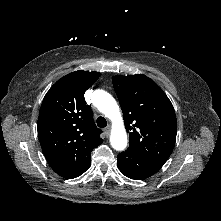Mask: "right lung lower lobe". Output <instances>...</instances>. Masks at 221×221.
Listing matches in <instances>:
<instances>
[{"label": "right lung lower lobe", "instance_id": "98d812e1", "mask_svg": "<svg viewBox=\"0 0 221 221\" xmlns=\"http://www.w3.org/2000/svg\"><path fill=\"white\" fill-rule=\"evenodd\" d=\"M90 165H91V162H90L89 164H87L84 168H82L81 170H79L77 173H75L74 175H72V176H70V177H68V178H76V177L80 176V175L83 174L86 170L89 169Z\"/></svg>", "mask_w": 221, "mask_h": 221}]
</instances>
